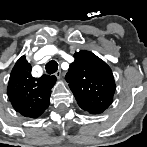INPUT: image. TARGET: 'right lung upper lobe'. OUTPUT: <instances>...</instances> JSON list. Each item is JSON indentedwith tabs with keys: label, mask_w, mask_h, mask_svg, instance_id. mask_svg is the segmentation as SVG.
Masks as SVG:
<instances>
[{
	"label": "right lung upper lobe",
	"mask_w": 147,
	"mask_h": 147,
	"mask_svg": "<svg viewBox=\"0 0 147 147\" xmlns=\"http://www.w3.org/2000/svg\"><path fill=\"white\" fill-rule=\"evenodd\" d=\"M55 82V76L46 74L40 78L32 77L31 65L22 56L10 74L7 88L9 100L21 115L37 118L48 108L51 88Z\"/></svg>",
	"instance_id": "1"
}]
</instances>
